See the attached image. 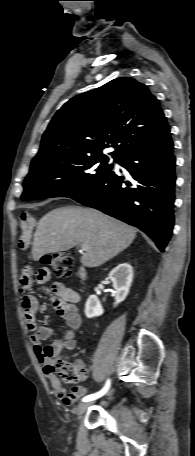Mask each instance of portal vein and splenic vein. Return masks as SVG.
<instances>
[{
	"instance_id": "18ae733b",
	"label": "portal vein and splenic vein",
	"mask_w": 195,
	"mask_h": 456,
	"mask_svg": "<svg viewBox=\"0 0 195 456\" xmlns=\"http://www.w3.org/2000/svg\"><path fill=\"white\" fill-rule=\"evenodd\" d=\"M81 248H82V250H84L86 247L82 245Z\"/></svg>"
}]
</instances>
